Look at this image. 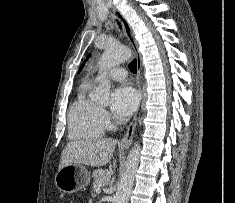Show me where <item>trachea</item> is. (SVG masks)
I'll list each match as a JSON object with an SVG mask.
<instances>
[{
	"label": "trachea",
	"instance_id": "trachea-1",
	"mask_svg": "<svg viewBox=\"0 0 235 203\" xmlns=\"http://www.w3.org/2000/svg\"><path fill=\"white\" fill-rule=\"evenodd\" d=\"M118 24H120V23L118 22ZM129 69H130V71L132 73H136L137 72V61H136V59H134L133 61H131L129 63Z\"/></svg>",
	"mask_w": 235,
	"mask_h": 203
}]
</instances>
